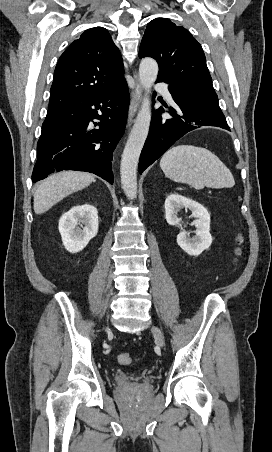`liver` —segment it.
<instances>
[{
  "label": "liver",
  "mask_w": 272,
  "mask_h": 452,
  "mask_svg": "<svg viewBox=\"0 0 272 452\" xmlns=\"http://www.w3.org/2000/svg\"><path fill=\"white\" fill-rule=\"evenodd\" d=\"M92 182H95V177L87 172L62 171L52 174L35 190L34 212L42 214L48 211L68 195L89 186Z\"/></svg>",
  "instance_id": "1"
}]
</instances>
